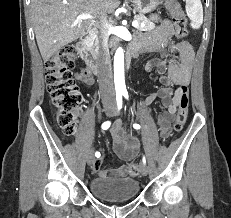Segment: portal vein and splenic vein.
<instances>
[{"label": "portal vein and splenic vein", "instance_id": "obj_1", "mask_svg": "<svg viewBox=\"0 0 231 218\" xmlns=\"http://www.w3.org/2000/svg\"><path fill=\"white\" fill-rule=\"evenodd\" d=\"M78 18H81V19H90V18H94V17L91 16V15L82 14V15H80ZM138 25H139V22H138V21L134 20V21L132 22V26H133V27H137Z\"/></svg>", "mask_w": 231, "mask_h": 218}]
</instances>
